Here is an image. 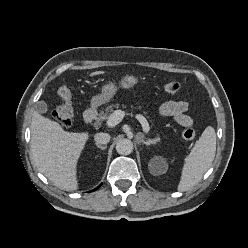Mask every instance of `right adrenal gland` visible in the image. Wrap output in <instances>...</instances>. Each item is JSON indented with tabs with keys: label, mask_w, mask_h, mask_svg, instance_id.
Here are the masks:
<instances>
[{
	"label": "right adrenal gland",
	"mask_w": 248,
	"mask_h": 248,
	"mask_svg": "<svg viewBox=\"0 0 248 248\" xmlns=\"http://www.w3.org/2000/svg\"><path fill=\"white\" fill-rule=\"evenodd\" d=\"M95 145H96L98 148H100L101 150H105V149L107 148V146H102V145H100V144H98V143H95Z\"/></svg>",
	"instance_id": "2a0ac1e0"
}]
</instances>
